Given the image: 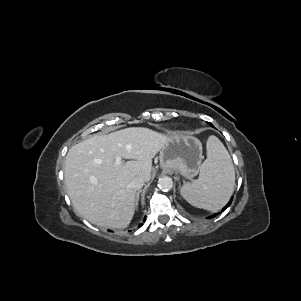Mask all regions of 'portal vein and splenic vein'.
I'll list each match as a JSON object with an SVG mask.
<instances>
[{"label":"portal vein and splenic vein","mask_w":301,"mask_h":301,"mask_svg":"<svg viewBox=\"0 0 301 301\" xmlns=\"http://www.w3.org/2000/svg\"><path fill=\"white\" fill-rule=\"evenodd\" d=\"M115 164L116 165H120L121 164V158L120 157H116Z\"/></svg>","instance_id":"obj_1"}]
</instances>
